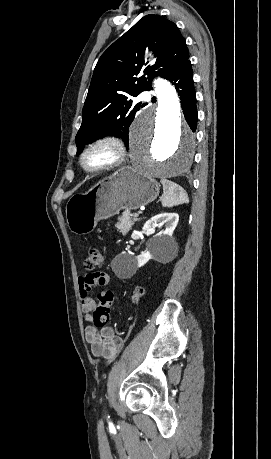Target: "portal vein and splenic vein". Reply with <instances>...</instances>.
<instances>
[{"label": "portal vein and splenic vein", "mask_w": 271, "mask_h": 459, "mask_svg": "<svg viewBox=\"0 0 271 459\" xmlns=\"http://www.w3.org/2000/svg\"><path fill=\"white\" fill-rule=\"evenodd\" d=\"M133 216H134V217H135V216L137 217V216H138V212H134V215H133Z\"/></svg>", "instance_id": "1"}]
</instances>
